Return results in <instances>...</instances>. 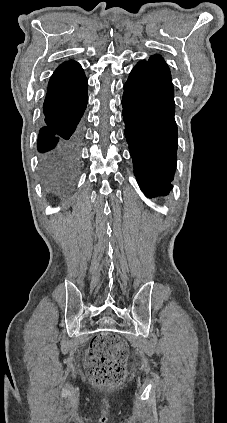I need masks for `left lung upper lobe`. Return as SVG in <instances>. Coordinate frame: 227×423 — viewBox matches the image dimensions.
<instances>
[{"label":"left lung upper lobe","mask_w":227,"mask_h":423,"mask_svg":"<svg viewBox=\"0 0 227 423\" xmlns=\"http://www.w3.org/2000/svg\"><path fill=\"white\" fill-rule=\"evenodd\" d=\"M132 72L144 73L155 78L159 85L169 90L172 96L174 95L170 70L162 57L154 55L148 61H141Z\"/></svg>","instance_id":"1"}]
</instances>
